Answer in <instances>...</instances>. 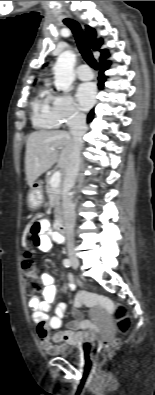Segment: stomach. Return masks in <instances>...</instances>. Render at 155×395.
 Masks as SVG:
<instances>
[{
    "label": "stomach",
    "mask_w": 155,
    "mask_h": 395,
    "mask_svg": "<svg viewBox=\"0 0 155 395\" xmlns=\"http://www.w3.org/2000/svg\"><path fill=\"white\" fill-rule=\"evenodd\" d=\"M42 201H43V194H42L41 182L35 181L30 186V193L28 199L29 206L33 209H36L41 205Z\"/></svg>",
    "instance_id": "obj_1"
}]
</instances>
